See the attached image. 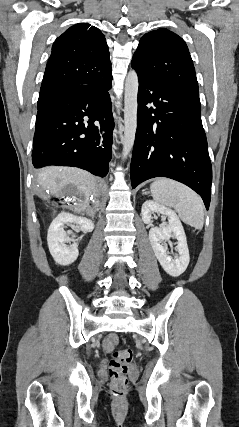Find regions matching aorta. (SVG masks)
I'll list each match as a JSON object with an SVG mask.
<instances>
[{"instance_id":"1","label":"aorta","mask_w":239,"mask_h":427,"mask_svg":"<svg viewBox=\"0 0 239 427\" xmlns=\"http://www.w3.org/2000/svg\"><path fill=\"white\" fill-rule=\"evenodd\" d=\"M138 86V75L134 70H132L128 73L125 81L123 158L127 157L135 141L137 129Z\"/></svg>"}]
</instances>
